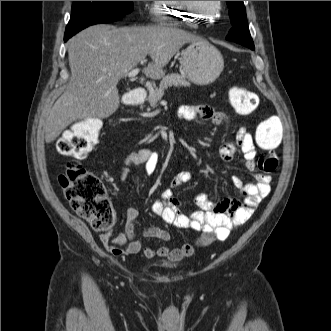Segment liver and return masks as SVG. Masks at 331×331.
Returning a JSON list of instances; mask_svg holds the SVG:
<instances>
[{
  "instance_id": "obj_1",
  "label": "liver",
  "mask_w": 331,
  "mask_h": 331,
  "mask_svg": "<svg viewBox=\"0 0 331 331\" xmlns=\"http://www.w3.org/2000/svg\"><path fill=\"white\" fill-rule=\"evenodd\" d=\"M200 37L165 24L116 28L93 25L68 42L71 77L43 123L46 143L53 142L72 122L107 118L119 107L117 84L130 70L152 62L142 72L151 79L164 76V67L180 48Z\"/></svg>"
}]
</instances>
